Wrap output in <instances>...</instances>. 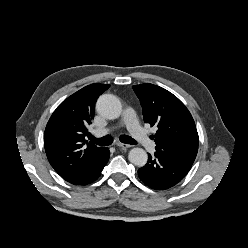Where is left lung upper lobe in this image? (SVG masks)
<instances>
[{
    "mask_svg": "<svg viewBox=\"0 0 248 248\" xmlns=\"http://www.w3.org/2000/svg\"><path fill=\"white\" fill-rule=\"evenodd\" d=\"M143 109L145 123L157 126L156 153L193 164L199 144L194 120L186 106L157 85L133 86Z\"/></svg>",
    "mask_w": 248,
    "mask_h": 248,
    "instance_id": "obj_1",
    "label": "left lung upper lobe"
}]
</instances>
